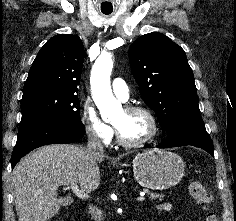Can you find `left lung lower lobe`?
<instances>
[{
  "instance_id": "0a47b994",
  "label": "left lung lower lobe",
  "mask_w": 236,
  "mask_h": 221,
  "mask_svg": "<svg viewBox=\"0 0 236 221\" xmlns=\"http://www.w3.org/2000/svg\"><path fill=\"white\" fill-rule=\"evenodd\" d=\"M184 145L202 148L214 156L213 143L206 132L204 122H185L175 126L168 131L167 139L158 148Z\"/></svg>"
}]
</instances>
